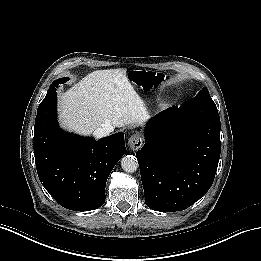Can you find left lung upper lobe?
Here are the masks:
<instances>
[{
	"label": "left lung upper lobe",
	"instance_id": "left-lung-upper-lobe-1",
	"mask_svg": "<svg viewBox=\"0 0 261 261\" xmlns=\"http://www.w3.org/2000/svg\"><path fill=\"white\" fill-rule=\"evenodd\" d=\"M194 101L205 103L208 105L216 106L213 100L211 99L209 92L206 88H203L193 99Z\"/></svg>",
	"mask_w": 261,
	"mask_h": 261
}]
</instances>
